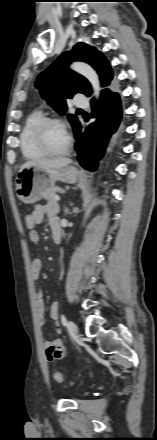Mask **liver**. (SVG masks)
<instances>
[{"instance_id":"liver-1","label":"liver","mask_w":157,"mask_h":440,"mask_svg":"<svg viewBox=\"0 0 157 440\" xmlns=\"http://www.w3.org/2000/svg\"><path fill=\"white\" fill-rule=\"evenodd\" d=\"M72 162L69 158H57V159H36L31 160L26 163H24L20 170L24 168H29L32 166L40 167L45 170H52V169H60L63 167L68 166Z\"/></svg>"}]
</instances>
